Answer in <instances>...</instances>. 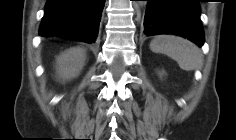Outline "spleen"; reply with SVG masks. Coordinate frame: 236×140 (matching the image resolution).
Returning <instances> with one entry per match:
<instances>
[{"label":"spleen","mask_w":236,"mask_h":140,"mask_svg":"<svg viewBox=\"0 0 236 140\" xmlns=\"http://www.w3.org/2000/svg\"><path fill=\"white\" fill-rule=\"evenodd\" d=\"M150 49L175 60L185 71H192L202 66L203 57L200 49L182 37L160 35L150 43Z\"/></svg>","instance_id":"spleen-1"}]
</instances>
